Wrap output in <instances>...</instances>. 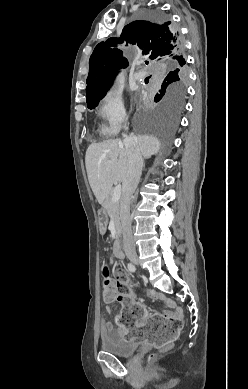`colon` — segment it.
Returning <instances> with one entry per match:
<instances>
[{"label": "colon", "instance_id": "5ec220e1", "mask_svg": "<svg viewBox=\"0 0 248 389\" xmlns=\"http://www.w3.org/2000/svg\"><path fill=\"white\" fill-rule=\"evenodd\" d=\"M104 275L107 285L103 291V299L105 301H120L123 303V308L120 311L117 322L121 330L128 332L127 342L135 344H157L159 349L167 350L170 348L169 344H175L176 338L173 337L178 334L181 329V321L178 317H170L169 315H162L160 311H155L153 315L147 317L146 307L142 306L141 302H135V297L130 296L129 289H121L119 285L113 286L110 284L111 277L106 266L104 268ZM113 275L120 282H126L128 285H133L135 280L131 278L130 273H125L122 268L113 270ZM146 318V327L134 326L138 322H143ZM163 344L164 347H163ZM155 355H151L153 359Z\"/></svg>", "mask_w": 248, "mask_h": 389}]
</instances>
